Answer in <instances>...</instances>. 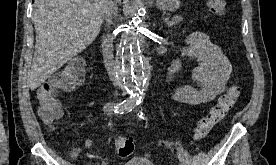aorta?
Segmentation results:
<instances>
[{
    "mask_svg": "<svg viewBox=\"0 0 276 165\" xmlns=\"http://www.w3.org/2000/svg\"><path fill=\"white\" fill-rule=\"evenodd\" d=\"M139 21L133 17L125 27L117 55V72L129 99L135 101L144 96L149 65L142 55V35Z\"/></svg>",
    "mask_w": 276,
    "mask_h": 165,
    "instance_id": "aorta-1",
    "label": "aorta"
}]
</instances>
